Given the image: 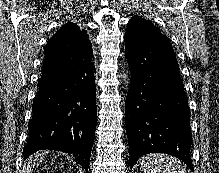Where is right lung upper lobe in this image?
<instances>
[{
	"instance_id": "right-lung-upper-lobe-1",
	"label": "right lung upper lobe",
	"mask_w": 219,
	"mask_h": 173,
	"mask_svg": "<svg viewBox=\"0 0 219 173\" xmlns=\"http://www.w3.org/2000/svg\"><path fill=\"white\" fill-rule=\"evenodd\" d=\"M45 61H53L56 65H65L75 56L93 55L91 42L84 30L74 23L61 27L45 46Z\"/></svg>"
}]
</instances>
